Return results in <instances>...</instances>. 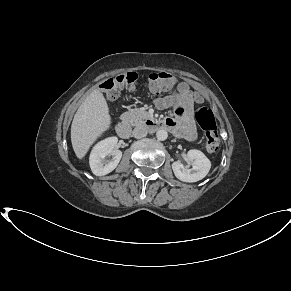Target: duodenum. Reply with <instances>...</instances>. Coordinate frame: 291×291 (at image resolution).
<instances>
[{
  "label": "duodenum",
  "instance_id": "duodenum-1",
  "mask_svg": "<svg viewBox=\"0 0 291 291\" xmlns=\"http://www.w3.org/2000/svg\"><path fill=\"white\" fill-rule=\"evenodd\" d=\"M146 126L150 129H166V123L164 120H154V119H148L146 121ZM116 132L121 137H127L130 135V127L126 121V119H121L115 126Z\"/></svg>",
  "mask_w": 291,
  "mask_h": 291
}]
</instances>
